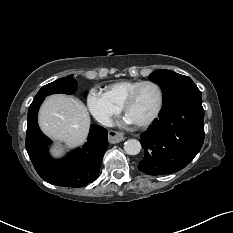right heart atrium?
<instances>
[{
	"label": "right heart atrium",
	"instance_id": "obj_1",
	"mask_svg": "<svg viewBox=\"0 0 233 233\" xmlns=\"http://www.w3.org/2000/svg\"><path fill=\"white\" fill-rule=\"evenodd\" d=\"M87 106L94 118L104 125L109 124L112 118L121 111V107L113 102L105 92L94 88L87 95Z\"/></svg>",
	"mask_w": 233,
	"mask_h": 233
}]
</instances>
